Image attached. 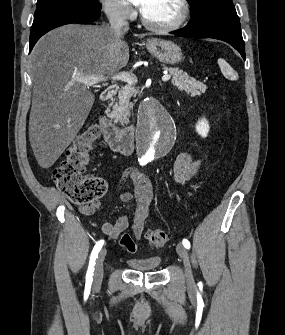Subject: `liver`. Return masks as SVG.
<instances>
[{
	"mask_svg": "<svg viewBox=\"0 0 285 335\" xmlns=\"http://www.w3.org/2000/svg\"><path fill=\"white\" fill-rule=\"evenodd\" d=\"M110 26L68 24L42 36L30 54L33 100L29 140L41 168L70 146L95 102L80 76H115L129 62V46Z\"/></svg>",
	"mask_w": 285,
	"mask_h": 335,
	"instance_id": "1",
	"label": "liver"
}]
</instances>
